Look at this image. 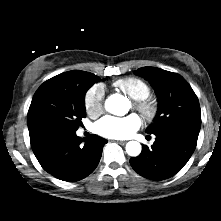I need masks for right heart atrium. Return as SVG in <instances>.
Masks as SVG:
<instances>
[{
    "mask_svg": "<svg viewBox=\"0 0 221 221\" xmlns=\"http://www.w3.org/2000/svg\"><path fill=\"white\" fill-rule=\"evenodd\" d=\"M104 89L102 85H93L85 94L84 106L88 115L96 117L103 111Z\"/></svg>",
    "mask_w": 221,
    "mask_h": 221,
    "instance_id": "d8ad5b80",
    "label": "right heart atrium"
}]
</instances>
